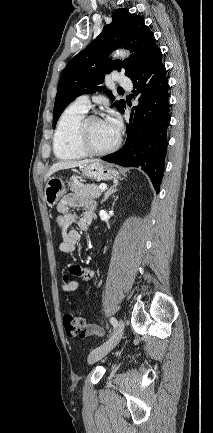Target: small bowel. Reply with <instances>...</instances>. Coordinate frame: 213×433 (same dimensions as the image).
<instances>
[{
	"instance_id": "obj_1",
	"label": "small bowel",
	"mask_w": 213,
	"mask_h": 433,
	"mask_svg": "<svg viewBox=\"0 0 213 433\" xmlns=\"http://www.w3.org/2000/svg\"><path fill=\"white\" fill-rule=\"evenodd\" d=\"M74 208L83 209L82 215H75L73 213ZM94 209L95 204L93 200L74 193L66 195L60 201L57 206L59 215L56 221L61 233L59 250L62 253H72L78 248L81 234L78 230L72 228V224H77L80 230H87L92 222ZM69 274L86 281H89L94 277V272L91 269L82 267L78 264H73L69 267ZM79 286V281L72 279L67 280L63 284L62 289L66 292H74L78 290ZM86 329L88 335L101 336L103 334L102 329L95 324L87 325Z\"/></svg>"
}]
</instances>
